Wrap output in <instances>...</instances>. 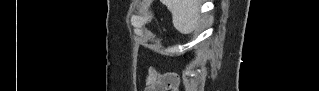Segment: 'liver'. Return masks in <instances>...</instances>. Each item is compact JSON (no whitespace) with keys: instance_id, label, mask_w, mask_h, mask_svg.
Listing matches in <instances>:
<instances>
[{"instance_id":"obj_1","label":"liver","mask_w":319,"mask_h":91,"mask_svg":"<svg viewBox=\"0 0 319 91\" xmlns=\"http://www.w3.org/2000/svg\"><path fill=\"white\" fill-rule=\"evenodd\" d=\"M199 6L197 0H172L170 10L174 26L182 32L193 30L199 22Z\"/></svg>"}]
</instances>
